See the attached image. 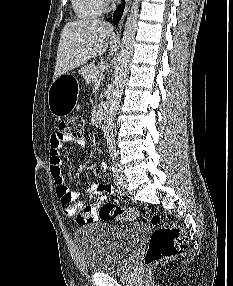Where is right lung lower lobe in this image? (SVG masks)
Masks as SVG:
<instances>
[{"label":"right lung lower lobe","mask_w":233,"mask_h":286,"mask_svg":"<svg viewBox=\"0 0 233 286\" xmlns=\"http://www.w3.org/2000/svg\"><path fill=\"white\" fill-rule=\"evenodd\" d=\"M125 3H123L113 14V21L117 25L124 11Z\"/></svg>","instance_id":"98d812e1"}]
</instances>
